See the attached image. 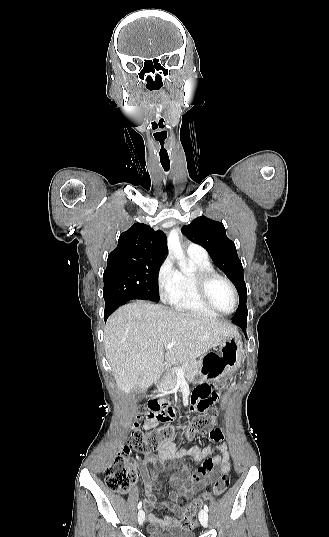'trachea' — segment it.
Segmentation results:
<instances>
[{
    "label": "trachea",
    "instance_id": "1",
    "mask_svg": "<svg viewBox=\"0 0 329 537\" xmlns=\"http://www.w3.org/2000/svg\"><path fill=\"white\" fill-rule=\"evenodd\" d=\"M162 167L164 169V171H169V168H170V164L169 163H162Z\"/></svg>",
    "mask_w": 329,
    "mask_h": 537
}]
</instances>
